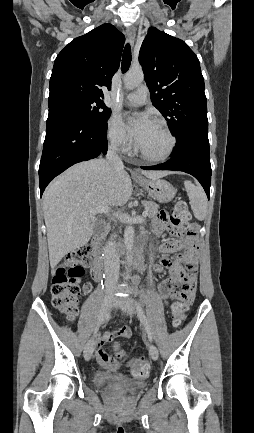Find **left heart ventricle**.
Returning <instances> with one entry per match:
<instances>
[{"label": "left heart ventricle", "instance_id": "left-heart-ventricle-1", "mask_svg": "<svg viewBox=\"0 0 254 433\" xmlns=\"http://www.w3.org/2000/svg\"><path fill=\"white\" fill-rule=\"evenodd\" d=\"M138 145L147 154L159 156L167 150L169 146V138L163 129L153 122L148 132Z\"/></svg>", "mask_w": 254, "mask_h": 433}]
</instances>
